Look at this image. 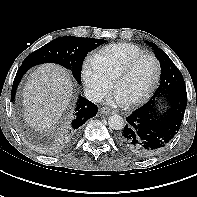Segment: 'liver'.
<instances>
[{"label": "liver", "mask_w": 197, "mask_h": 197, "mask_svg": "<svg viewBox=\"0 0 197 197\" xmlns=\"http://www.w3.org/2000/svg\"><path fill=\"white\" fill-rule=\"evenodd\" d=\"M72 81L66 70L56 64L39 66L23 89L26 121L37 130L53 127L72 99Z\"/></svg>", "instance_id": "6515ba94"}]
</instances>
